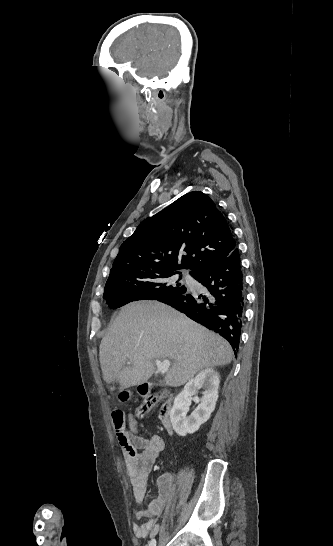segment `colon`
Listing matches in <instances>:
<instances>
[{
    "mask_svg": "<svg viewBox=\"0 0 333 546\" xmlns=\"http://www.w3.org/2000/svg\"><path fill=\"white\" fill-rule=\"evenodd\" d=\"M165 397V393L157 392L148 397L136 410L138 417H143L147 411L158 401ZM127 395L122 396V400H126ZM112 423L120 446L129 456L136 454V448L131 441L129 431L127 429L124 413L116 409L112 412Z\"/></svg>",
    "mask_w": 333,
    "mask_h": 546,
    "instance_id": "colon-1",
    "label": "colon"
}]
</instances>
